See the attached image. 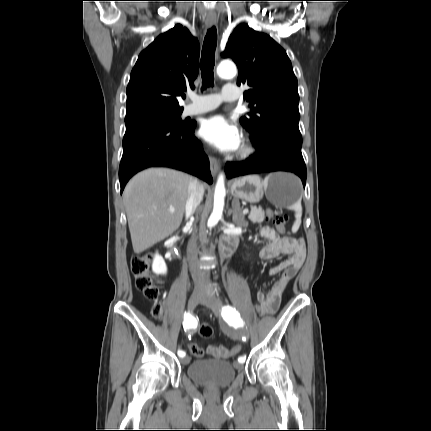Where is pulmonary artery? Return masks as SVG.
I'll list each match as a JSON object with an SVG mask.
<instances>
[{"label":"pulmonary artery","mask_w":431,"mask_h":431,"mask_svg":"<svg viewBox=\"0 0 431 431\" xmlns=\"http://www.w3.org/2000/svg\"><path fill=\"white\" fill-rule=\"evenodd\" d=\"M239 97V88L234 84L227 83L223 86L220 94L191 95L190 98L193 102L185 108L184 114L205 113L217 108L222 101H236Z\"/></svg>","instance_id":"obj_1"}]
</instances>
